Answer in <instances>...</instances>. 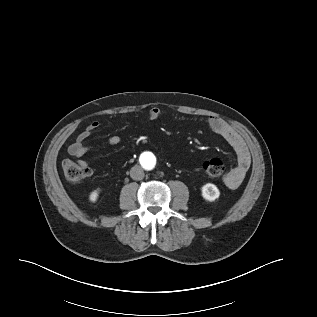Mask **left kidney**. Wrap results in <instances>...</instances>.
I'll return each mask as SVG.
<instances>
[{
    "label": "left kidney",
    "mask_w": 317,
    "mask_h": 317,
    "mask_svg": "<svg viewBox=\"0 0 317 317\" xmlns=\"http://www.w3.org/2000/svg\"><path fill=\"white\" fill-rule=\"evenodd\" d=\"M220 195L218 188L211 183H208L202 187V196L207 201H214Z\"/></svg>",
    "instance_id": "obj_1"
}]
</instances>
